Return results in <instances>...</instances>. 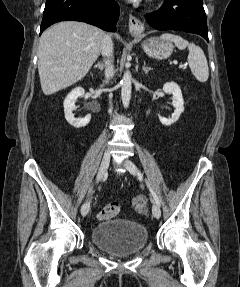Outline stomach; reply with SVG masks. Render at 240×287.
Listing matches in <instances>:
<instances>
[{
	"mask_svg": "<svg viewBox=\"0 0 240 287\" xmlns=\"http://www.w3.org/2000/svg\"><path fill=\"white\" fill-rule=\"evenodd\" d=\"M144 52L155 59H166L173 52V44L168 40L159 38H149L142 43Z\"/></svg>",
	"mask_w": 240,
	"mask_h": 287,
	"instance_id": "0dacf381",
	"label": "stomach"
}]
</instances>
